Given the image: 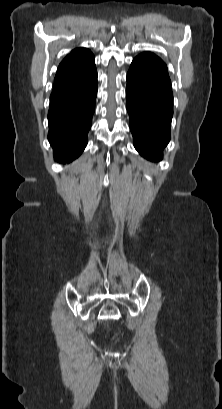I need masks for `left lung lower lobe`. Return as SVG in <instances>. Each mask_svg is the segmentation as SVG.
<instances>
[{
  "mask_svg": "<svg viewBox=\"0 0 222 409\" xmlns=\"http://www.w3.org/2000/svg\"><path fill=\"white\" fill-rule=\"evenodd\" d=\"M127 111L136 150L150 161L162 159L173 116L171 84L129 70Z\"/></svg>",
  "mask_w": 222,
  "mask_h": 409,
  "instance_id": "left-lung-lower-lobe-1",
  "label": "left lung lower lobe"
}]
</instances>
